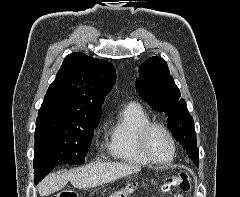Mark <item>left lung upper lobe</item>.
<instances>
[{"instance_id": "1", "label": "left lung upper lobe", "mask_w": 240, "mask_h": 197, "mask_svg": "<svg viewBox=\"0 0 240 197\" xmlns=\"http://www.w3.org/2000/svg\"><path fill=\"white\" fill-rule=\"evenodd\" d=\"M136 90L152 109L168 116L167 126L174 138L198 166L199 151L193 118L188 112L186 102L180 98V90L164 59L153 56L140 66Z\"/></svg>"}]
</instances>
